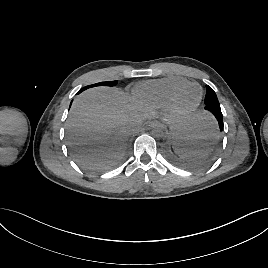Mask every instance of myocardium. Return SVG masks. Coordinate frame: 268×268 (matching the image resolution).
Wrapping results in <instances>:
<instances>
[{
	"label": "myocardium",
	"mask_w": 268,
	"mask_h": 268,
	"mask_svg": "<svg viewBox=\"0 0 268 268\" xmlns=\"http://www.w3.org/2000/svg\"><path fill=\"white\" fill-rule=\"evenodd\" d=\"M190 87H197L199 89V98H198L197 102L193 106H191L189 108H182L179 105V98ZM202 97H203V90H202L201 86H199L196 83H188V84L178 88L173 93V95L171 96L170 101H169V106H170L171 110L176 115H178V116H186V115L192 113L193 111H195L198 108V106L201 103Z\"/></svg>",
	"instance_id": "myocardium-1"
}]
</instances>
